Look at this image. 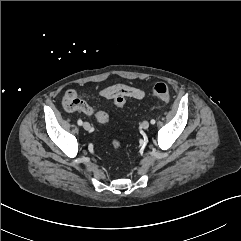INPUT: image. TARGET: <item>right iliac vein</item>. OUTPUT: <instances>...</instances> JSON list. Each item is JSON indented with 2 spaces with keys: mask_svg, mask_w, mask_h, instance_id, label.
Wrapping results in <instances>:
<instances>
[{
  "mask_svg": "<svg viewBox=\"0 0 241 241\" xmlns=\"http://www.w3.org/2000/svg\"><path fill=\"white\" fill-rule=\"evenodd\" d=\"M83 128H84L86 131H88V130H90L91 126H90V124H89L88 122H84V123H83Z\"/></svg>",
  "mask_w": 241,
  "mask_h": 241,
  "instance_id": "obj_1",
  "label": "right iliac vein"
}]
</instances>
